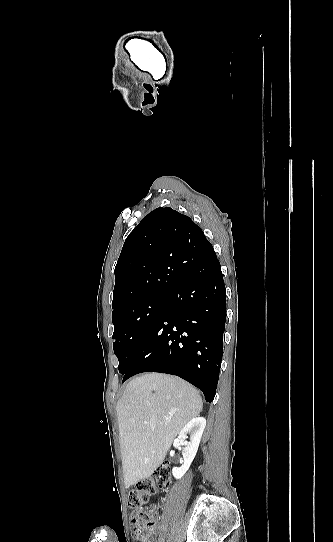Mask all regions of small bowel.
<instances>
[{"mask_svg": "<svg viewBox=\"0 0 333 542\" xmlns=\"http://www.w3.org/2000/svg\"><path fill=\"white\" fill-rule=\"evenodd\" d=\"M151 536L154 538L156 535L153 533Z\"/></svg>", "mask_w": 333, "mask_h": 542, "instance_id": "1", "label": "small bowel"}]
</instances>
